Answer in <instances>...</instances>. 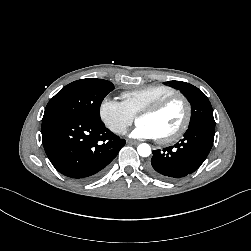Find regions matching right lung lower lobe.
I'll use <instances>...</instances> for the list:
<instances>
[{
    "label": "right lung lower lobe",
    "instance_id": "right-lung-lower-lobe-1",
    "mask_svg": "<svg viewBox=\"0 0 251 251\" xmlns=\"http://www.w3.org/2000/svg\"><path fill=\"white\" fill-rule=\"evenodd\" d=\"M45 152L63 175L86 182L101 176L125 145L101 120L55 114L43 117Z\"/></svg>",
    "mask_w": 251,
    "mask_h": 251
}]
</instances>
